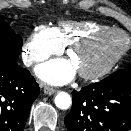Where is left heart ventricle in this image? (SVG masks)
Masks as SVG:
<instances>
[{
    "instance_id": "left-heart-ventricle-1",
    "label": "left heart ventricle",
    "mask_w": 131,
    "mask_h": 131,
    "mask_svg": "<svg viewBox=\"0 0 131 131\" xmlns=\"http://www.w3.org/2000/svg\"><path fill=\"white\" fill-rule=\"evenodd\" d=\"M126 39L121 35H108L96 41L93 45L75 51L72 54L78 71H91L105 64L125 45Z\"/></svg>"
}]
</instances>
